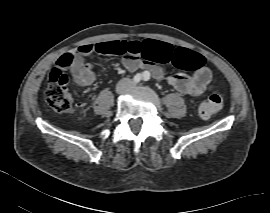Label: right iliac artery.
Segmentation results:
<instances>
[{
  "mask_svg": "<svg viewBox=\"0 0 270 213\" xmlns=\"http://www.w3.org/2000/svg\"><path fill=\"white\" fill-rule=\"evenodd\" d=\"M144 73H145V72H144ZM144 73H143V74H140V73L136 74V75L134 76V78H133V81H134L135 83L140 82V81L143 79Z\"/></svg>",
  "mask_w": 270,
  "mask_h": 213,
  "instance_id": "82829eb1",
  "label": "right iliac artery"
}]
</instances>
